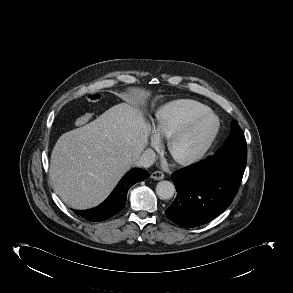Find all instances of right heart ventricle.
I'll use <instances>...</instances> for the list:
<instances>
[{
	"label": "right heart ventricle",
	"mask_w": 293,
	"mask_h": 293,
	"mask_svg": "<svg viewBox=\"0 0 293 293\" xmlns=\"http://www.w3.org/2000/svg\"><path fill=\"white\" fill-rule=\"evenodd\" d=\"M209 107L191 99H179L168 102L155 114L154 132L163 138H169L193 117L208 112Z\"/></svg>",
	"instance_id": "e07e8e85"
}]
</instances>
